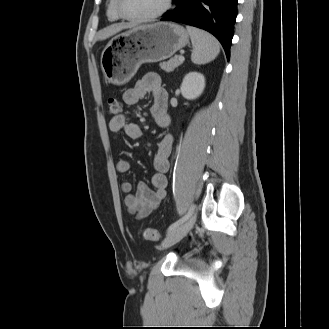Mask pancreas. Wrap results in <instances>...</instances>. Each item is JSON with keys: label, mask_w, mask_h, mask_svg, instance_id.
<instances>
[{"label": "pancreas", "mask_w": 329, "mask_h": 329, "mask_svg": "<svg viewBox=\"0 0 329 329\" xmlns=\"http://www.w3.org/2000/svg\"><path fill=\"white\" fill-rule=\"evenodd\" d=\"M181 64L182 62L179 61V57H173L166 62L160 63V67L166 72H172L175 68H177Z\"/></svg>", "instance_id": "obj_1"}]
</instances>
